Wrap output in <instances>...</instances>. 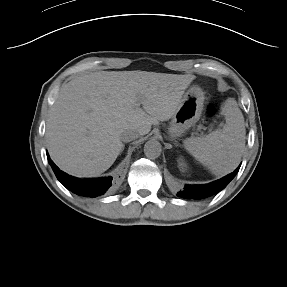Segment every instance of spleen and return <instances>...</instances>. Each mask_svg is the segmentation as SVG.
I'll list each match as a JSON object with an SVG mask.
<instances>
[{
    "label": "spleen",
    "mask_w": 287,
    "mask_h": 287,
    "mask_svg": "<svg viewBox=\"0 0 287 287\" xmlns=\"http://www.w3.org/2000/svg\"><path fill=\"white\" fill-rule=\"evenodd\" d=\"M226 122L206 137H189L184 148L215 176H222L235 169L245 147L244 118L232 101L221 106Z\"/></svg>",
    "instance_id": "obj_1"
}]
</instances>
